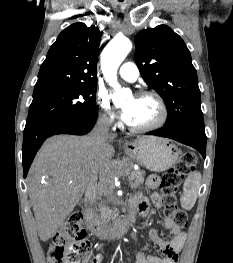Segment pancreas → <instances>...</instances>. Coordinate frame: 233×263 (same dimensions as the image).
Wrapping results in <instances>:
<instances>
[{"label": "pancreas", "mask_w": 233, "mask_h": 263, "mask_svg": "<svg viewBox=\"0 0 233 263\" xmlns=\"http://www.w3.org/2000/svg\"><path fill=\"white\" fill-rule=\"evenodd\" d=\"M145 172L143 170H133L130 174V178L133 183L130 184L132 189H137L144 182ZM99 215L95 217V220H99L102 223L107 222L112 216L113 212L105 204H101L99 208Z\"/></svg>", "instance_id": "obj_1"}]
</instances>
